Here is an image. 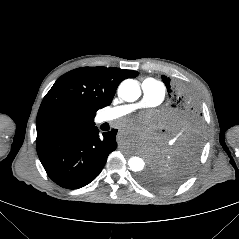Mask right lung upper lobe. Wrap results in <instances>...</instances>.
<instances>
[{"instance_id": "right-lung-upper-lobe-1", "label": "right lung upper lobe", "mask_w": 239, "mask_h": 239, "mask_svg": "<svg viewBox=\"0 0 239 239\" xmlns=\"http://www.w3.org/2000/svg\"><path fill=\"white\" fill-rule=\"evenodd\" d=\"M137 71L83 67L62 75L44 97L36 120V142L93 125L97 110L111 104L121 81Z\"/></svg>"}]
</instances>
